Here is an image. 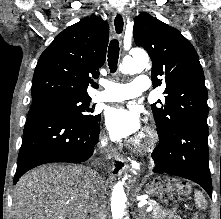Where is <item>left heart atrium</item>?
<instances>
[{"instance_id":"obj_1","label":"left heart atrium","mask_w":221,"mask_h":219,"mask_svg":"<svg viewBox=\"0 0 221 219\" xmlns=\"http://www.w3.org/2000/svg\"><path fill=\"white\" fill-rule=\"evenodd\" d=\"M105 123L112 139L122 140L134 137L140 130V118L134 109L117 106L110 108Z\"/></svg>"}]
</instances>
